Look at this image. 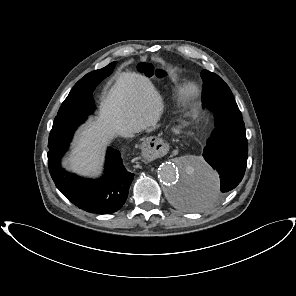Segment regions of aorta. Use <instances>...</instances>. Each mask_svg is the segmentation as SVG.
<instances>
[{
  "label": "aorta",
  "mask_w": 296,
  "mask_h": 296,
  "mask_svg": "<svg viewBox=\"0 0 296 296\" xmlns=\"http://www.w3.org/2000/svg\"><path fill=\"white\" fill-rule=\"evenodd\" d=\"M158 177L166 186L171 205L183 212H198L209 207L220 188L218 174L195 156L183 158L180 166L163 163L158 169Z\"/></svg>",
  "instance_id": "obj_1"
}]
</instances>
